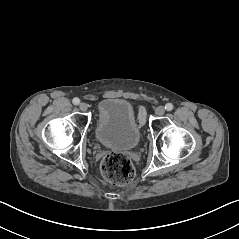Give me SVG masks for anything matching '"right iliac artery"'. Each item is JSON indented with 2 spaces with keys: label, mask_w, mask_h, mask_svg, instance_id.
I'll list each match as a JSON object with an SVG mask.
<instances>
[{
  "label": "right iliac artery",
  "mask_w": 239,
  "mask_h": 239,
  "mask_svg": "<svg viewBox=\"0 0 239 239\" xmlns=\"http://www.w3.org/2000/svg\"><path fill=\"white\" fill-rule=\"evenodd\" d=\"M72 102L74 105H78L80 103V100H79V98L76 97L72 100Z\"/></svg>",
  "instance_id": "1"
}]
</instances>
